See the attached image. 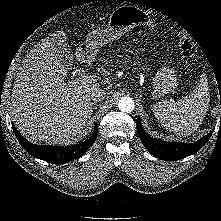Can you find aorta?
Returning a JSON list of instances; mask_svg holds the SVG:
<instances>
[{"instance_id":"obj_1","label":"aorta","mask_w":221,"mask_h":221,"mask_svg":"<svg viewBox=\"0 0 221 221\" xmlns=\"http://www.w3.org/2000/svg\"><path fill=\"white\" fill-rule=\"evenodd\" d=\"M119 110L125 113L132 112L134 109V101L130 97H122L118 103Z\"/></svg>"}]
</instances>
